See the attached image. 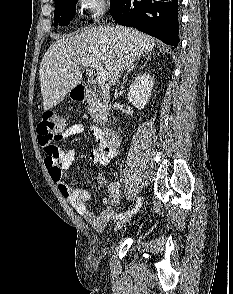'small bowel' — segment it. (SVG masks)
Returning <instances> with one entry per match:
<instances>
[{
	"label": "small bowel",
	"instance_id": "obj_1",
	"mask_svg": "<svg viewBox=\"0 0 233 294\" xmlns=\"http://www.w3.org/2000/svg\"><path fill=\"white\" fill-rule=\"evenodd\" d=\"M83 123L78 122L66 129L63 134L64 138L79 135L85 131ZM97 146L91 150L90 160L94 164L106 166L117 155L118 145H111L105 141L101 129L95 125L90 126ZM76 153L73 149H63L59 156L51 158L46 156L44 163L48 170L49 176L56 183L65 200L81 215L91 226L102 231L113 216V208L118 204L121 196L120 184L116 181L108 182L103 175L96 178L99 187L106 188V207L99 215H95L87 208L86 203L90 200V193L82 188H70L63 180V172L69 169L75 161Z\"/></svg>",
	"mask_w": 233,
	"mask_h": 294
}]
</instances>
